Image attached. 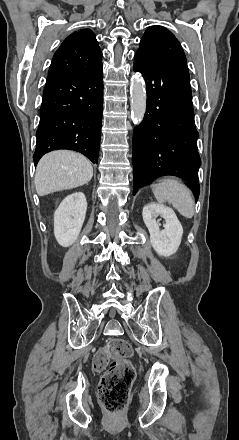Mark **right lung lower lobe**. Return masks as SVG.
Returning a JSON list of instances; mask_svg holds the SVG:
<instances>
[{"label": "right lung lower lobe", "instance_id": "obj_1", "mask_svg": "<svg viewBox=\"0 0 239 440\" xmlns=\"http://www.w3.org/2000/svg\"><path fill=\"white\" fill-rule=\"evenodd\" d=\"M103 109V67L87 74L48 75L37 129L35 166L57 149L75 150L97 163Z\"/></svg>", "mask_w": 239, "mask_h": 440}]
</instances>
